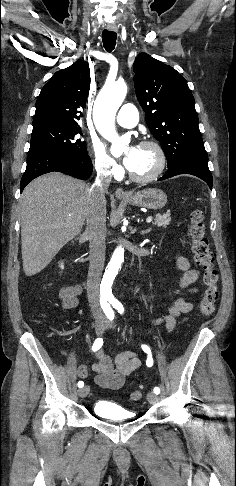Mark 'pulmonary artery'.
Returning <instances> with one entry per match:
<instances>
[{
  "label": "pulmonary artery",
  "instance_id": "1",
  "mask_svg": "<svg viewBox=\"0 0 236 486\" xmlns=\"http://www.w3.org/2000/svg\"><path fill=\"white\" fill-rule=\"evenodd\" d=\"M138 120V111L133 104H124L116 117L117 123L125 128L134 127L138 123Z\"/></svg>",
  "mask_w": 236,
  "mask_h": 486
}]
</instances>
